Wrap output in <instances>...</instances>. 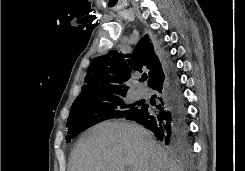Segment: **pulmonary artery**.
<instances>
[{
    "label": "pulmonary artery",
    "instance_id": "obj_1",
    "mask_svg": "<svg viewBox=\"0 0 245 171\" xmlns=\"http://www.w3.org/2000/svg\"><path fill=\"white\" fill-rule=\"evenodd\" d=\"M136 94L139 98H141V97H145L148 94V91L144 87L139 86L136 88Z\"/></svg>",
    "mask_w": 245,
    "mask_h": 171
}]
</instances>
